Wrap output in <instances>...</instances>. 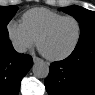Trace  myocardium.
<instances>
[{
  "label": "myocardium",
  "instance_id": "f54148a6",
  "mask_svg": "<svg viewBox=\"0 0 95 95\" xmlns=\"http://www.w3.org/2000/svg\"><path fill=\"white\" fill-rule=\"evenodd\" d=\"M68 19H72L74 20L77 25H78V36H77V39L74 43V45L65 53L59 55V56H50V55H47L43 52V50L41 49V42L42 40L48 36L61 22L65 21V20H68ZM82 35H83V26H82V23L81 21L75 17V16H72V15H67V16H63L62 18L54 21L53 23H51L47 28H45L41 34L38 36L37 38V47H38V50L40 51V53L48 60H51V61H61V60H64L66 58H68L70 55H72L75 50L78 48L80 42H81V39H82Z\"/></svg>",
  "mask_w": 95,
  "mask_h": 95
}]
</instances>
